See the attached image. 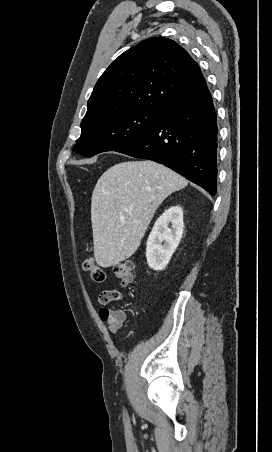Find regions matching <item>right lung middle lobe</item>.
<instances>
[{"instance_id":"dd1d6c3e","label":"right lung middle lobe","mask_w":272,"mask_h":452,"mask_svg":"<svg viewBox=\"0 0 272 452\" xmlns=\"http://www.w3.org/2000/svg\"><path fill=\"white\" fill-rule=\"evenodd\" d=\"M162 113L159 109L132 108L82 121L73 151L86 157L118 151L142 136Z\"/></svg>"}]
</instances>
